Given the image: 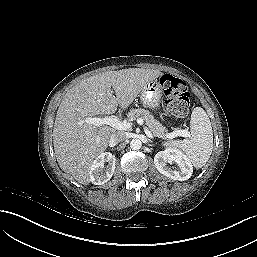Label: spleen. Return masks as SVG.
Masks as SVG:
<instances>
[{
  "instance_id": "spleen-1",
  "label": "spleen",
  "mask_w": 257,
  "mask_h": 257,
  "mask_svg": "<svg viewBox=\"0 0 257 257\" xmlns=\"http://www.w3.org/2000/svg\"><path fill=\"white\" fill-rule=\"evenodd\" d=\"M191 137L183 140L165 142L167 148L181 150L195 168H201L209 160L213 149V131L207 113L194 108L191 114Z\"/></svg>"
}]
</instances>
